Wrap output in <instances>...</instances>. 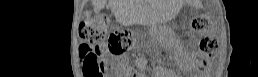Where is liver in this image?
Instances as JSON below:
<instances>
[{
  "instance_id": "1",
  "label": "liver",
  "mask_w": 258,
  "mask_h": 77,
  "mask_svg": "<svg viewBox=\"0 0 258 77\" xmlns=\"http://www.w3.org/2000/svg\"><path fill=\"white\" fill-rule=\"evenodd\" d=\"M106 0H92L94 12H100L106 4ZM109 6L118 22L132 24L135 21L137 6L130 0H109Z\"/></svg>"
}]
</instances>
